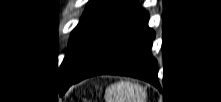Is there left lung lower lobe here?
<instances>
[{
    "label": "left lung lower lobe",
    "mask_w": 221,
    "mask_h": 102,
    "mask_svg": "<svg viewBox=\"0 0 221 102\" xmlns=\"http://www.w3.org/2000/svg\"><path fill=\"white\" fill-rule=\"evenodd\" d=\"M148 19V13L137 6L83 68L62 83L64 88L101 74L125 75L158 85L157 60L151 54L155 32L148 27Z\"/></svg>",
    "instance_id": "obj_1"
}]
</instances>
